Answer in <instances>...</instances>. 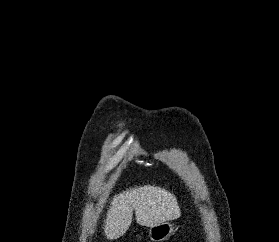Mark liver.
I'll return each mask as SVG.
<instances>
[{
    "instance_id": "6515ba94",
    "label": "liver",
    "mask_w": 279,
    "mask_h": 242,
    "mask_svg": "<svg viewBox=\"0 0 279 242\" xmlns=\"http://www.w3.org/2000/svg\"><path fill=\"white\" fill-rule=\"evenodd\" d=\"M133 210L137 223L147 227L181 216L176 197L170 191L154 185L130 188L111 200L104 227L107 239L114 240L126 233Z\"/></svg>"
}]
</instances>
